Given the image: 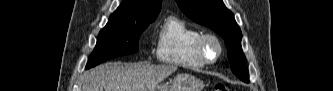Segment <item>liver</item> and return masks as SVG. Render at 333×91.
<instances>
[{
	"instance_id": "1",
	"label": "liver",
	"mask_w": 333,
	"mask_h": 91,
	"mask_svg": "<svg viewBox=\"0 0 333 91\" xmlns=\"http://www.w3.org/2000/svg\"><path fill=\"white\" fill-rule=\"evenodd\" d=\"M174 71L168 65L107 63L85 73L83 91H153Z\"/></svg>"
}]
</instances>
